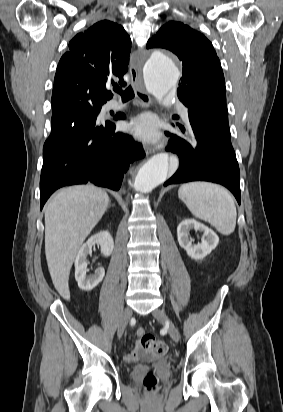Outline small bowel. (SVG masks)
Segmentation results:
<instances>
[{"instance_id":"1","label":"small bowel","mask_w":283,"mask_h":412,"mask_svg":"<svg viewBox=\"0 0 283 412\" xmlns=\"http://www.w3.org/2000/svg\"><path fill=\"white\" fill-rule=\"evenodd\" d=\"M136 334L138 336H142L144 334V331L142 329H138L136 331ZM145 357L146 354L143 352L140 340H138L134 350L125 356V361L131 363L137 361L139 358Z\"/></svg>"}]
</instances>
